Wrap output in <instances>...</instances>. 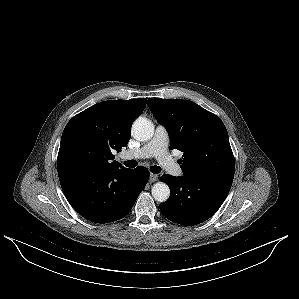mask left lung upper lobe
I'll list each match as a JSON object with an SVG mask.
<instances>
[{
	"label": "left lung upper lobe",
	"mask_w": 299,
	"mask_h": 299,
	"mask_svg": "<svg viewBox=\"0 0 299 299\" xmlns=\"http://www.w3.org/2000/svg\"><path fill=\"white\" fill-rule=\"evenodd\" d=\"M157 121L166 127L171 149L183 152L184 175L233 179L235 160L222 120L196 103L180 99H148Z\"/></svg>",
	"instance_id": "1"
}]
</instances>
